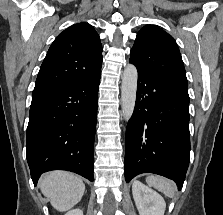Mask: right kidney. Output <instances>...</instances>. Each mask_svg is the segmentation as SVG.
Segmentation results:
<instances>
[{"mask_svg":"<svg viewBox=\"0 0 223 215\" xmlns=\"http://www.w3.org/2000/svg\"><path fill=\"white\" fill-rule=\"evenodd\" d=\"M65 215H83L82 209H70Z\"/></svg>","mask_w":223,"mask_h":215,"instance_id":"ca27d5eb","label":"right kidney"}]
</instances>
